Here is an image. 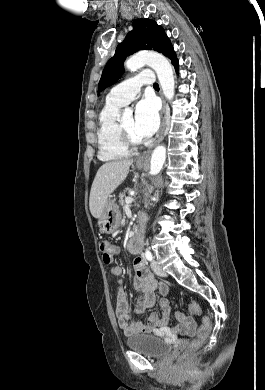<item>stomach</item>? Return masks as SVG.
<instances>
[{"label": "stomach", "instance_id": "0dacf381", "mask_svg": "<svg viewBox=\"0 0 265 390\" xmlns=\"http://www.w3.org/2000/svg\"><path fill=\"white\" fill-rule=\"evenodd\" d=\"M136 166L142 169L145 164L137 162ZM120 223L121 212L119 207L114 200L109 199L102 215L98 218L99 229L102 233L112 234L119 228Z\"/></svg>", "mask_w": 265, "mask_h": 390}]
</instances>
